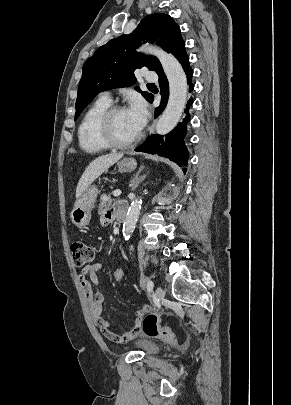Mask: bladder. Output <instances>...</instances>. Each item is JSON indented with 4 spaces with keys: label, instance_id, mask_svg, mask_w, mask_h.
<instances>
[{
    "label": "bladder",
    "instance_id": "1",
    "mask_svg": "<svg viewBox=\"0 0 291 405\" xmlns=\"http://www.w3.org/2000/svg\"><path fill=\"white\" fill-rule=\"evenodd\" d=\"M135 344L146 354V355H157L160 352V346L153 340L142 338L138 339Z\"/></svg>",
    "mask_w": 291,
    "mask_h": 405
}]
</instances>
